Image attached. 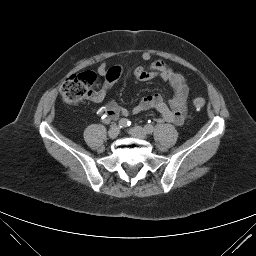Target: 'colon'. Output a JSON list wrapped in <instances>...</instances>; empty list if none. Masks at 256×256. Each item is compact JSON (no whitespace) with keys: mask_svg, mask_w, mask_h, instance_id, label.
I'll return each mask as SVG.
<instances>
[{"mask_svg":"<svg viewBox=\"0 0 256 256\" xmlns=\"http://www.w3.org/2000/svg\"><path fill=\"white\" fill-rule=\"evenodd\" d=\"M96 81V74L87 71L79 74H74L68 77L60 87L62 100L67 105H76L84 98L92 93V86ZM205 99L196 97L193 100V105L196 109H201L205 106Z\"/></svg>","mask_w":256,"mask_h":256,"instance_id":"obj_1","label":"colon"}]
</instances>
